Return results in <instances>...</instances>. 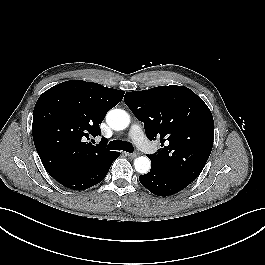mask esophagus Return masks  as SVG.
Wrapping results in <instances>:
<instances>
[{"label": "esophagus", "instance_id": "1", "mask_svg": "<svg viewBox=\"0 0 265 265\" xmlns=\"http://www.w3.org/2000/svg\"><path fill=\"white\" fill-rule=\"evenodd\" d=\"M126 155H127L129 158H136L139 154H138V153H126Z\"/></svg>", "mask_w": 265, "mask_h": 265}]
</instances>
